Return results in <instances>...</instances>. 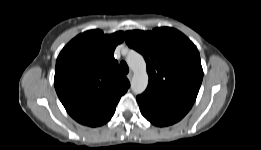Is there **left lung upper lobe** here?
I'll return each mask as SVG.
<instances>
[{
  "label": "left lung upper lobe",
  "mask_w": 261,
  "mask_h": 150,
  "mask_svg": "<svg viewBox=\"0 0 261 150\" xmlns=\"http://www.w3.org/2000/svg\"><path fill=\"white\" fill-rule=\"evenodd\" d=\"M125 40L147 63L149 83L141 96L189 111L203 78L196 46L169 27L127 31Z\"/></svg>",
  "instance_id": "5c2ea615"
}]
</instances>
